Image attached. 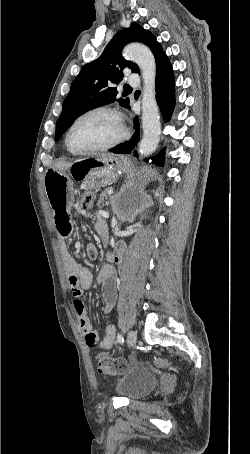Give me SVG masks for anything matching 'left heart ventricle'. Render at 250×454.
I'll use <instances>...</instances> for the list:
<instances>
[{"instance_id":"1","label":"left heart ventricle","mask_w":250,"mask_h":454,"mask_svg":"<svg viewBox=\"0 0 250 454\" xmlns=\"http://www.w3.org/2000/svg\"><path fill=\"white\" fill-rule=\"evenodd\" d=\"M120 133L116 118L109 113H95L82 119L71 133V144L76 149H90L104 145Z\"/></svg>"}]
</instances>
